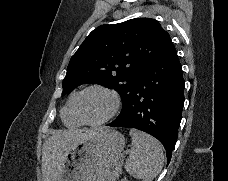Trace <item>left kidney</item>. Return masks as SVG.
I'll list each match as a JSON object with an SVG mask.
<instances>
[{"mask_svg": "<svg viewBox=\"0 0 228 181\" xmlns=\"http://www.w3.org/2000/svg\"><path fill=\"white\" fill-rule=\"evenodd\" d=\"M122 181H127V179H122Z\"/></svg>", "mask_w": 228, "mask_h": 181, "instance_id": "left-kidney-1", "label": "left kidney"}]
</instances>
